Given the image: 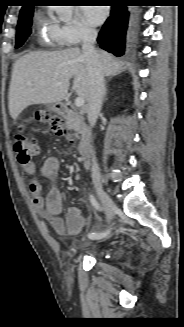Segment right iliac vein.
I'll use <instances>...</instances> for the list:
<instances>
[{
    "label": "right iliac vein",
    "mask_w": 184,
    "mask_h": 327,
    "mask_svg": "<svg viewBox=\"0 0 184 327\" xmlns=\"http://www.w3.org/2000/svg\"><path fill=\"white\" fill-rule=\"evenodd\" d=\"M95 189L104 206L105 213H106V221L110 222L114 217L116 206L114 202L111 200V198L109 197V195L106 193L104 188L99 183L95 184Z\"/></svg>",
    "instance_id": "1"
}]
</instances>
